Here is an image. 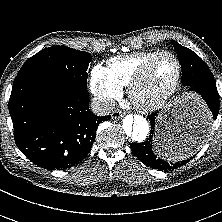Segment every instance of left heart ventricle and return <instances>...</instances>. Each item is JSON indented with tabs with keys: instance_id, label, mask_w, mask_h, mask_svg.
Wrapping results in <instances>:
<instances>
[{
	"instance_id": "obj_1",
	"label": "left heart ventricle",
	"mask_w": 222,
	"mask_h": 222,
	"mask_svg": "<svg viewBox=\"0 0 222 222\" xmlns=\"http://www.w3.org/2000/svg\"><path fill=\"white\" fill-rule=\"evenodd\" d=\"M177 65L173 58L164 56L151 68L147 79L139 89V97L144 100H152L161 94L174 80Z\"/></svg>"
}]
</instances>
